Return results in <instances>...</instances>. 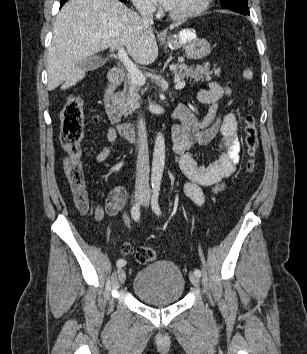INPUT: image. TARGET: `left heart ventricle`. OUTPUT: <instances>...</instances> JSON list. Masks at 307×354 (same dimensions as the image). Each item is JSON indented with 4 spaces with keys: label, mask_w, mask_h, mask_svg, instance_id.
<instances>
[{
    "label": "left heart ventricle",
    "mask_w": 307,
    "mask_h": 354,
    "mask_svg": "<svg viewBox=\"0 0 307 354\" xmlns=\"http://www.w3.org/2000/svg\"><path fill=\"white\" fill-rule=\"evenodd\" d=\"M200 1L201 0H173L168 10L175 14H182L195 8Z\"/></svg>",
    "instance_id": "1"
}]
</instances>
